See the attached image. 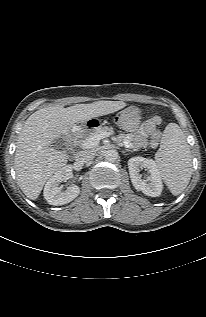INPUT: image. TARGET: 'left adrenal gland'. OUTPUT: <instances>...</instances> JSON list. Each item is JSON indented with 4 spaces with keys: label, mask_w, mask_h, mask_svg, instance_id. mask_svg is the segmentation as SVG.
Segmentation results:
<instances>
[{
    "label": "left adrenal gland",
    "mask_w": 206,
    "mask_h": 317,
    "mask_svg": "<svg viewBox=\"0 0 206 317\" xmlns=\"http://www.w3.org/2000/svg\"><path fill=\"white\" fill-rule=\"evenodd\" d=\"M127 152H134L136 150H129V149H126Z\"/></svg>",
    "instance_id": "left-adrenal-gland-1"
}]
</instances>
